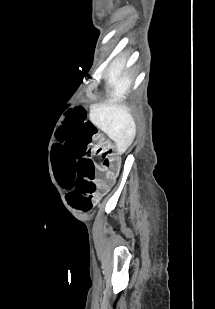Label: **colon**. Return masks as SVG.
I'll list each match as a JSON object with an SVG mask.
<instances>
[{
	"label": "colon",
	"mask_w": 215,
	"mask_h": 309,
	"mask_svg": "<svg viewBox=\"0 0 215 309\" xmlns=\"http://www.w3.org/2000/svg\"><path fill=\"white\" fill-rule=\"evenodd\" d=\"M102 166L105 171L116 173L119 169V163L116 155L112 151H106L103 153Z\"/></svg>",
	"instance_id": "obj_1"
}]
</instances>
